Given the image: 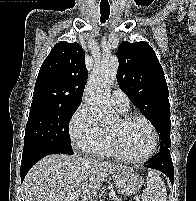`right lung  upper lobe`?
<instances>
[{
  "mask_svg": "<svg viewBox=\"0 0 196 201\" xmlns=\"http://www.w3.org/2000/svg\"><path fill=\"white\" fill-rule=\"evenodd\" d=\"M88 71L78 43H57L41 65L32 103L57 106L81 104Z\"/></svg>",
  "mask_w": 196,
  "mask_h": 201,
  "instance_id": "right-lung-upper-lobe-1",
  "label": "right lung upper lobe"
}]
</instances>
